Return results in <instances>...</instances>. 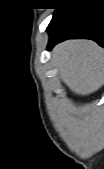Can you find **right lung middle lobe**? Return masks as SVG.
Returning <instances> with one entry per match:
<instances>
[{
	"label": "right lung middle lobe",
	"mask_w": 104,
	"mask_h": 169,
	"mask_svg": "<svg viewBox=\"0 0 104 169\" xmlns=\"http://www.w3.org/2000/svg\"><path fill=\"white\" fill-rule=\"evenodd\" d=\"M67 4V3H62V4H59V7L55 8V12H54V15L53 17L63 8V6Z\"/></svg>",
	"instance_id": "right-lung-middle-lobe-1"
}]
</instances>
